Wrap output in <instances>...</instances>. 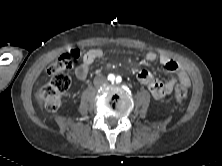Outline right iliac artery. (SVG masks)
I'll return each mask as SVG.
<instances>
[{
	"label": "right iliac artery",
	"mask_w": 222,
	"mask_h": 166,
	"mask_svg": "<svg viewBox=\"0 0 222 166\" xmlns=\"http://www.w3.org/2000/svg\"><path fill=\"white\" fill-rule=\"evenodd\" d=\"M108 80L114 81L115 80V76L113 74H109L108 75Z\"/></svg>",
	"instance_id": "right-iliac-artery-1"
}]
</instances>
